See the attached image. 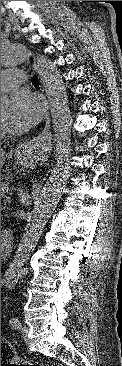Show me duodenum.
<instances>
[{
	"instance_id": "1",
	"label": "duodenum",
	"mask_w": 122,
	"mask_h": 366,
	"mask_svg": "<svg viewBox=\"0 0 122 366\" xmlns=\"http://www.w3.org/2000/svg\"><path fill=\"white\" fill-rule=\"evenodd\" d=\"M13 237L10 233L1 234V252L9 251L12 247Z\"/></svg>"
}]
</instances>
